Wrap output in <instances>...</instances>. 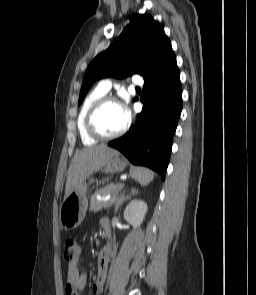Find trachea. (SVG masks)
Listing matches in <instances>:
<instances>
[{"label":"trachea","mask_w":256,"mask_h":295,"mask_svg":"<svg viewBox=\"0 0 256 295\" xmlns=\"http://www.w3.org/2000/svg\"><path fill=\"white\" fill-rule=\"evenodd\" d=\"M136 90H140V88L139 87H136Z\"/></svg>","instance_id":"3493384b"}]
</instances>
